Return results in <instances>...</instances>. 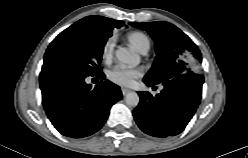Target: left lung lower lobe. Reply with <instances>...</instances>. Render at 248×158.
I'll use <instances>...</instances> for the list:
<instances>
[{"mask_svg":"<svg viewBox=\"0 0 248 158\" xmlns=\"http://www.w3.org/2000/svg\"><path fill=\"white\" fill-rule=\"evenodd\" d=\"M144 82L155 85L147 79ZM203 82L202 75L183 74L163 84L164 89L155 97L147 91L138 92L140 103L133 116L139 128L154 137L181 133L200 103Z\"/></svg>","mask_w":248,"mask_h":158,"instance_id":"0a47b994","label":"left lung lower lobe"}]
</instances>
